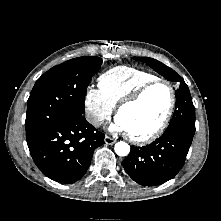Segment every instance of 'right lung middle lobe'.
Wrapping results in <instances>:
<instances>
[{
	"mask_svg": "<svg viewBox=\"0 0 221 221\" xmlns=\"http://www.w3.org/2000/svg\"><path fill=\"white\" fill-rule=\"evenodd\" d=\"M101 64L96 56L74 58L36 81L27 101V141L59 121L82 116L87 86Z\"/></svg>",
	"mask_w": 221,
	"mask_h": 221,
	"instance_id": "obj_1",
	"label": "right lung middle lobe"
}]
</instances>
